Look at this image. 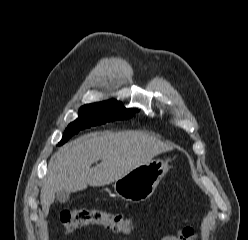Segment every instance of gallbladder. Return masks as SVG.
Returning <instances> with one entry per match:
<instances>
[{
  "label": "gallbladder",
  "instance_id": "gallbladder-1",
  "mask_svg": "<svg viewBox=\"0 0 248 240\" xmlns=\"http://www.w3.org/2000/svg\"><path fill=\"white\" fill-rule=\"evenodd\" d=\"M69 198H70V192L68 191L61 190V191L56 192V200L59 203H65L69 200Z\"/></svg>",
  "mask_w": 248,
  "mask_h": 240
}]
</instances>
